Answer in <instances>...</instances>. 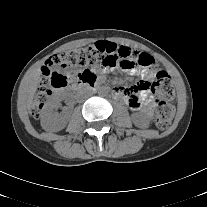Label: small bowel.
<instances>
[{"mask_svg": "<svg viewBox=\"0 0 207 207\" xmlns=\"http://www.w3.org/2000/svg\"><path fill=\"white\" fill-rule=\"evenodd\" d=\"M143 54V53H140ZM129 74L132 75H143L146 78H149L153 74V70H139L136 68L124 69ZM149 80L144 79L138 82L136 85L126 88L117 86L113 89V95L116 98L123 99L127 105L134 111L141 109L143 106H146L145 113L148 117H151L153 114L152 107V97L149 95Z\"/></svg>", "mask_w": 207, "mask_h": 207, "instance_id": "obj_1", "label": "small bowel"}]
</instances>
